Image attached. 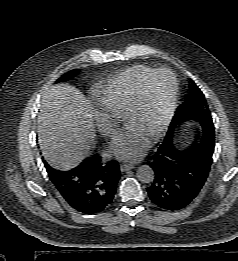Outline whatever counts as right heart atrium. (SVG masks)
<instances>
[{
  "mask_svg": "<svg viewBox=\"0 0 238 261\" xmlns=\"http://www.w3.org/2000/svg\"><path fill=\"white\" fill-rule=\"evenodd\" d=\"M93 118L97 130L104 136H111L123 119L120 116L108 112L102 107L93 110Z\"/></svg>",
  "mask_w": 238,
  "mask_h": 261,
  "instance_id": "1",
  "label": "right heart atrium"
}]
</instances>
